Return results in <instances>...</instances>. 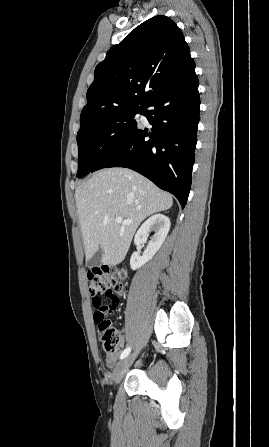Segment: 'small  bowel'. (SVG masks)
Instances as JSON below:
<instances>
[{"instance_id":"1","label":"small bowel","mask_w":269,"mask_h":447,"mask_svg":"<svg viewBox=\"0 0 269 447\" xmlns=\"http://www.w3.org/2000/svg\"><path fill=\"white\" fill-rule=\"evenodd\" d=\"M120 332L122 333V336H121V345H124V344H125V341H126V338H125V336L123 335V331L121 330ZM117 358H118V353L107 354L106 357H105V363H106V366H108V367H112V366L115 364Z\"/></svg>"}]
</instances>
